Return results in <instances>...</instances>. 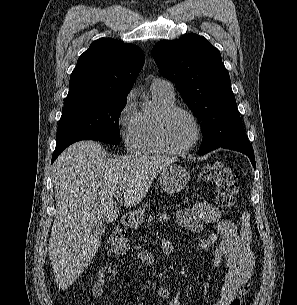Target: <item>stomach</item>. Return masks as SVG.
I'll return each instance as SVG.
<instances>
[{"label":"stomach","instance_id":"1","mask_svg":"<svg viewBox=\"0 0 297 305\" xmlns=\"http://www.w3.org/2000/svg\"><path fill=\"white\" fill-rule=\"evenodd\" d=\"M190 176L188 171L176 164H171L165 170L160 173L159 181L163 190L167 193H176L183 190L188 182ZM136 222H141L143 220V212H137L135 215Z\"/></svg>","mask_w":297,"mask_h":305}]
</instances>
